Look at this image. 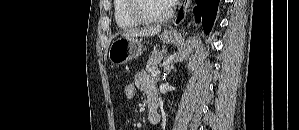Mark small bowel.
<instances>
[{
    "label": "small bowel",
    "instance_id": "c3829d8e",
    "mask_svg": "<svg viewBox=\"0 0 299 130\" xmlns=\"http://www.w3.org/2000/svg\"><path fill=\"white\" fill-rule=\"evenodd\" d=\"M134 80L139 89L146 91L148 95L155 94L153 80L147 75L145 71H140L139 73H137ZM148 120L151 124H157L159 121V117L156 119H151L148 116Z\"/></svg>",
    "mask_w": 299,
    "mask_h": 130
}]
</instances>
